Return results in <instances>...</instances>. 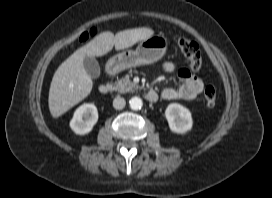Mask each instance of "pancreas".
I'll return each instance as SVG.
<instances>
[{"label": "pancreas", "instance_id": "obj_1", "mask_svg": "<svg viewBox=\"0 0 272 198\" xmlns=\"http://www.w3.org/2000/svg\"><path fill=\"white\" fill-rule=\"evenodd\" d=\"M114 89L120 93H126L134 92L138 89V86L133 83L128 76H126L115 82Z\"/></svg>", "mask_w": 272, "mask_h": 198}]
</instances>
